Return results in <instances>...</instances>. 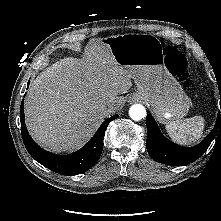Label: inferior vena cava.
Returning a JSON list of instances; mask_svg holds the SVG:
<instances>
[{
	"mask_svg": "<svg viewBox=\"0 0 221 221\" xmlns=\"http://www.w3.org/2000/svg\"><path fill=\"white\" fill-rule=\"evenodd\" d=\"M119 109V106L117 104L111 103L105 106L104 113L106 116H109L113 113H115Z\"/></svg>",
	"mask_w": 221,
	"mask_h": 221,
	"instance_id": "inferior-vena-cava-1",
	"label": "inferior vena cava"
}]
</instances>
